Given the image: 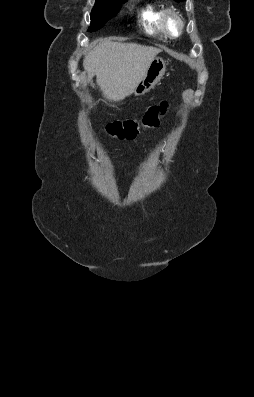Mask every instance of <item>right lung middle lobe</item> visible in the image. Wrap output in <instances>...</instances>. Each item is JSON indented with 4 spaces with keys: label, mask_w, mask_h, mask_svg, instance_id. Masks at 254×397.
I'll list each match as a JSON object with an SVG mask.
<instances>
[{
    "label": "right lung middle lobe",
    "mask_w": 254,
    "mask_h": 397,
    "mask_svg": "<svg viewBox=\"0 0 254 397\" xmlns=\"http://www.w3.org/2000/svg\"><path fill=\"white\" fill-rule=\"evenodd\" d=\"M127 0H96L94 8L91 12V25L89 32L97 31L104 24L116 16L123 3Z\"/></svg>",
    "instance_id": "1"
}]
</instances>
